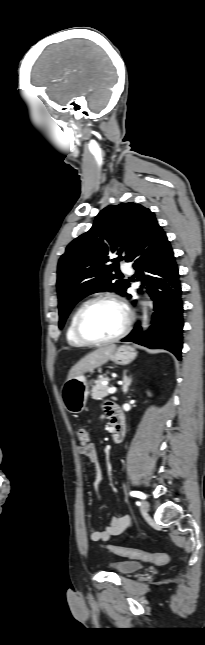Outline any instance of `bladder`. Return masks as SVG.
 Here are the masks:
<instances>
[{
  "label": "bladder",
  "mask_w": 205,
  "mask_h": 645,
  "mask_svg": "<svg viewBox=\"0 0 205 645\" xmlns=\"http://www.w3.org/2000/svg\"><path fill=\"white\" fill-rule=\"evenodd\" d=\"M142 567L143 565L135 560H118L109 564V568L112 571L123 575L133 574L142 569Z\"/></svg>",
  "instance_id": "31cf9c89"
}]
</instances>
